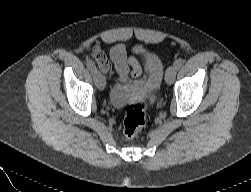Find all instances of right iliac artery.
I'll return each instance as SVG.
<instances>
[{"mask_svg":"<svg viewBox=\"0 0 251 192\" xmlns=\"http://www.w3.org/2000/svg\"><path fill=\"white\" fill-rule=\"evenodd\" d=\"M87 67L91 71L92 74H94L95 71L97 70L94 61L91 59L87 61Z\"/></svg>","mask_w":251,"mask_h":192,"instance_id":"82829eb1","label":"right iliac artery"}]
</instances>
